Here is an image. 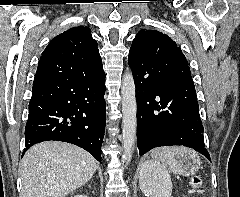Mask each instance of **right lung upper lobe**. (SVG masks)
Returning <instances> with one entry per match:
<instances>
[{"instance_id": "right-lung-upper-lobe-1", "label": "right lung upper lobe", "mask_w": 240, "mask_h": 197, "mask_svg": "<svg viewBox=\"0 0 240 197\" xmlns=\"http://www.w3.org/2000/svg\"><path fill=\"white\" fill-rule=\"evenodd\" d=\"M103 71L97 42L88 27L78 26L56 36L46 47L34 83L52 79H80Z\"/></svg>"}]
</instances>
